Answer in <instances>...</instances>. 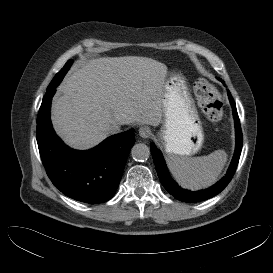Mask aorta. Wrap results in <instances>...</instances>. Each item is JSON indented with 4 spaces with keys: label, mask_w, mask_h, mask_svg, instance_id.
<instances>
[{
    "label": "aorta",
    "mask_w": 273,
    "mask_h": 273,
    "mask_svg": "<svg viewBox=\"0 0 273 273\" xmlns=\"http://www.w3.org/2000/svg\"><path fill=\"white\" fill-rule=\"evenodd\" d=\"M131 155L135 161H146L150 156V149L146 144L138 143L132 147Z\"/></svg>",
    "instance_id": "aorta-1"
}]
</instances>
